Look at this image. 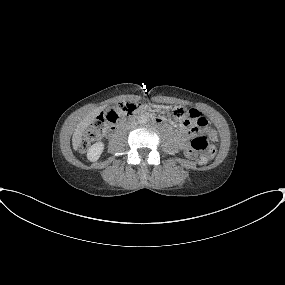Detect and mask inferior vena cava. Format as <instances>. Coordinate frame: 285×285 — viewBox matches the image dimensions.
<instances>
[{"label": "inferior vena cava", "mask_w": 285, "mask_h": 285, "mask_svg": "<svg viewBox=\"0 0 285 285\" xmlns=\"http://www.w3.org/2000/svg\"><path fill=\"white\" fill-rule=\"evenodd\" d=\"M135 125H136V123H135V122H134V123L129 124V125H128V129L133 128Z\"/></svg>", "instance_id": "obj_1"}]
</instances>
